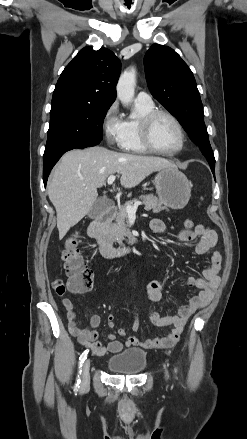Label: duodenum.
<instances>
[{"mask_svg":"<svg viewBox=\"0 0 247 439\" xmlns=\"http://www.w3.org/2000/svg\"><path fill=\"white\" fill-rule=\"evenodd\" d=\"M116 213V207L111 205L103 213L97 216L88 227V234L91 238L95 239L100 253L105 258H115L125 255L130 252L129 246L115 247L107 236V225L113 219Z\"/></svg>","mask_w":247,"mask_h":439,"instance_id":"1","label":"duodenum"}]
</instances>
